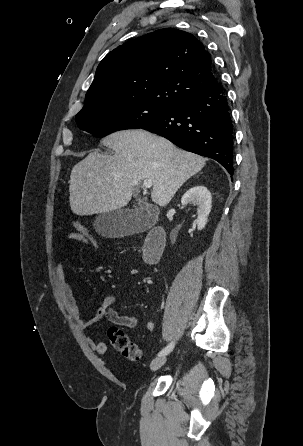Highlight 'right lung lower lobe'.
I'll return each mask as SVG.
<instances>
[{
	"mask_svg": "<svg viewBox=\"0 0 303 446\" xmlns=\"http://www.w3.org/2000/svg\"><path fill=\"white\" fill-rule=\"evenodd\" d=\"M142 129L212 158L233 174V125L226 93L219 83L189 94Z\"/></svg>",
	"mask_w": 303,
	"mask_h": 446,
	"instance_id": "1",
	"label": "right lung lower lobe"
}]
</instances>
